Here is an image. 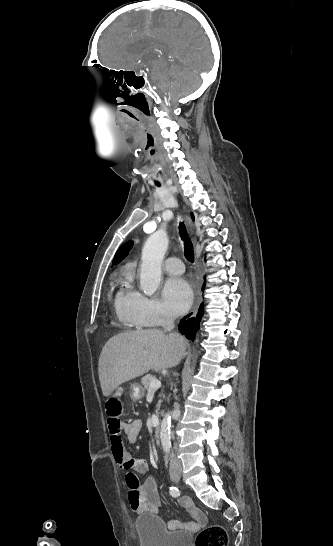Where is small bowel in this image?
<instances>
[{
    "mask_svg": "<svg viewBox=\"0 0 333 546\" xmlns=\"http://www.w3.org/2000/svg\"><path fill=\"white\" fill-rule=\"evenodd\" d=\"M115 390L116 392L113 396H121L120 393L124 391V388L118 386ZM107 426L115 462L122 471L127 472L126 484L128 486L129 504L132 510L156 514L162 506V499L157 490L156 480L152 476H149L142 484L139 483L137 474L147 473L148 464L142 459H133L125 450L121 438V432L123 431L130 443H136L142 429V422L140 420L124 422L121 420V417H119L117 422H110L107 417ZM180 504L191 515L193 522L185 524L174 520L170 522L172 527L188 526L197 528L204 523V515L189 498L181 499Z\"/></svg>",
    "mask_w": 333,
    "mask_h": 546,
    "instance_id": "c3829d8e",
    "label": "small bowel"
}]
</instances>
